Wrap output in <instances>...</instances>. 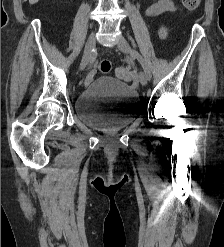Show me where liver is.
<instances>
[{
	"label": "liver",
	"mask_w": 224,
	"mask_h": 247,
	"mask_svg": "<svg viewBox=\"0 0 224 247\" xmlns=\"http://www.w3.org/2000/svg\"><path fill=\"white\" fill-rule=\"evenodd\" d=\"M36 2H39V0H29V4H36Z\"/></svg>",
	"instance_id": "liver-1"
}]
</instances>
